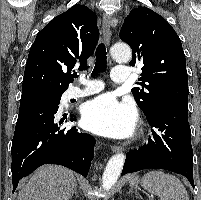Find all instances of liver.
<instances>
[{
	"instance_id": "1",
	"label": "liver",
	"mask_w": 201,
	"mask_h": 200,
	"mask_svg": "<svg viewBox=\"0 0 201 200\" xmlns=\"http://www.w3.org/2000/svg\"><path fill=\"white\" fill-rule=\"evenodd\" d=\"M75 181L69 169L44 165L34 172L17 200H69Z\"/></svg>"
}]
</instances>
